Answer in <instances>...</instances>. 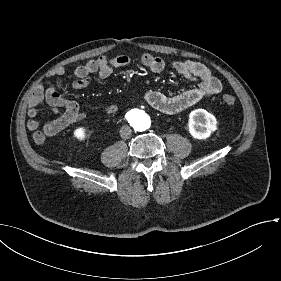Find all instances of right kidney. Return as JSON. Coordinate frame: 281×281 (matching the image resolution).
<instances>
[{"label":"right kidney","instance_id":"ca27d5eb","mask_svg":"<svg viewBox=\"0 0 281 281\" xmlns=\"http://www.w3.org/2000/svg\"><path fill=\"white\" fill-rule=\"evenodd\" d=\"M74 136L78 139V140H84L86 138V129L81 127L78 128L74 131Z\"/></svg>","mask_w":281,"mask_h":281}]
</instances>
